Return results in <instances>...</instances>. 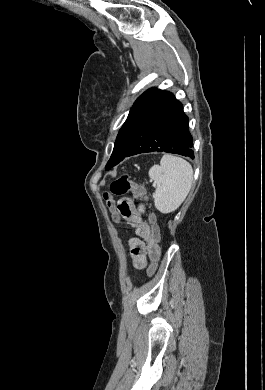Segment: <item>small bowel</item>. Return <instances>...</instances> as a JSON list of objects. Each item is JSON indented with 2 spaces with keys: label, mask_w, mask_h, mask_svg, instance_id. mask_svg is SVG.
Here are the masks:
<instances>
[{
  "label": "small bowel",
  "mask_w": 265,
  "mask_h": 390,
  "mask_svg": "<svg viewBox=\"0 0 265 390\" xmlns=\"http://www.w3.org/2000/svg\"><path fill=\"white\" fill-rule=\"evenodd\" d=\"M120 215L135 228L138 238L129 241L133 265L143 269L147 265L145 242L152 234V227L142 219V207H136L129 198H121L117 203Z\"/></svg>",
  "instance_id": "obj_1"
}]
</instances>
